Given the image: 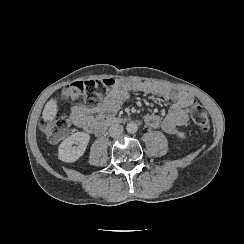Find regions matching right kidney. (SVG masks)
Instances as JSON below:
<instances>
[{"label": "right kidney", "instance_id": "1", "mask_svg": "<svg viewBox=\"0 0 244 244\" xmlns=\"http://www.w3.org/2000/svg\"><path fill=\"white\" fill-rule=\"evenodd\" d=\"M89 140L90 136L85 132H76L70 135L60 144L58 148V158L64 162L76 161L84 154ZM74 144L76 146H73Z\"/></svg>", "mask_w": 244, "mask_h": 244}]
</instances>
